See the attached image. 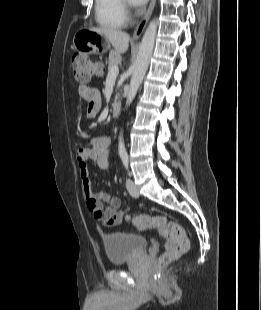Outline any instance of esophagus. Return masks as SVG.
Instances as JSON below:
<instances>
[{"label": "esophagus", "mask_w": 261, "mask_h": 310, "mask_svg": "<svg viewBox=\"0 0 261 310\" xmlns=\"http://www.w3.org/2000/svg\"><path fill=\"white\" fill-rule=\"evenodd\" d=\"M155 3H156V0H151L146 14L141 19V21L138 23V25L136 26V28L134 30L133 39H138L142 35V33H143L147 23H148V20H149L151 14L153 12Z\"/></svg>", "instance_id": "esophagus-1"}]
</instances>
